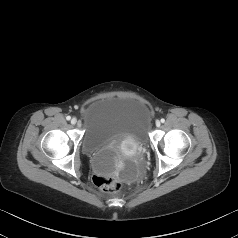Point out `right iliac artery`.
Instances as JSON below:
<instances>
[{
  "label": "right iliac artery",
  "mask_w": 238,
  "mask_h": 238,
  "mask_svg": "<svg viewBox=\"0 0 238 238\" xmlns=\"http://www.w3.org/2000/svg\"><path fill=\"white\" fill-rule=\"evenodd\" d=\"M66 119H67V120H70V119H71V117H70V116H67V117H66Z\"/></svg>",
  "instance_id": "1"
}]
</instances>
